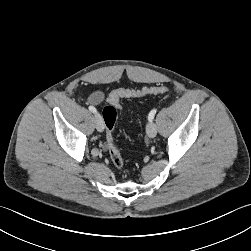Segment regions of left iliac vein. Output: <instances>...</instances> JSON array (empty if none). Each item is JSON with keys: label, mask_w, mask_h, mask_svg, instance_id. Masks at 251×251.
Here are the masks:
<instances>
[{"label": "left iliac vein", "mask_w": 251, "mask_h": 251, "mask_svg": "<svg viewBox=\"0 0 251 251\" xmlns=\"http://www.w3.org/2000/svg\"><path fill=\"white\" fill-rule=\"evenodd\" d=\"M146 133L150 138H154L157 134V128L154 122H150L146 126Z\"/></svg>", "instance_id": "left-iliac-vein-1"}]
</instances>
